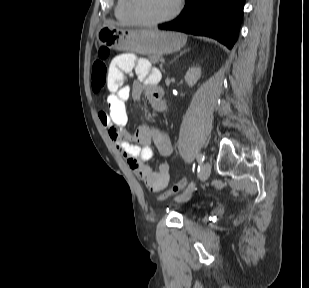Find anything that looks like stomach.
<instances>
[{"instance_id":"1","label":"stomach","mask_w":309,"mask_h":288,"mask_svg":"<svg viewBox=\"0 0 309 288\" xmlns=\"http://www.w3.org/2000/svg\"><path fill=\"white\" fill-rule=\"evenodd\" d=\"M100 46L132 52L148 57H160L181 49L187 37L178 32L157 29H124L106 24L96 34Z\"/></svg>"}]
</instances>
